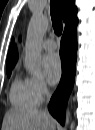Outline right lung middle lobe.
<instances>
[{
	"label": "right lung middle lobe",
	"mask_w": 95,
	"mask_h": 130,
	"mask_svg": "<svg viewBox=\"0 0 95 130\" xmlns=\"http://www.w3.org/2000/svg\"><path fill=\"white\" fill-rule=\"evenodd\" d=\"M11 69L7 70L8 76H10Z\"/></svg>",
	"instance_id": "dd1d6c3e"
}]
</instances>
